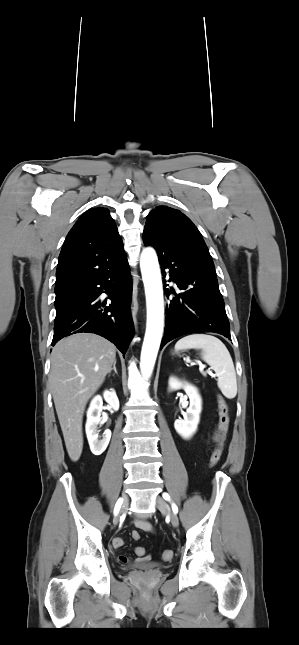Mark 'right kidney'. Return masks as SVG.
I'll list each match as a JSON object with an SVG mask.
<instances>
[{"label":"right kidney","instance_id":"1","mask_svg":"<svg viewBox=\"0 0 299 645\" xmlns=\"http://www.w3.org/2000/svg\"><path fill=\"white\" fill-rule=\"evenodd\" d=\"M103 398L114 411L119 409V400L114 390L105 391ZM103 398L100 395L95 396L87 411L85 429L91 452L94 455H101L111 438V431L107 429L104 431L102 439H99L98 425L102 424L100 414L103 409Z\"/></svg>","mask_w":299,"mask_h":645}]
</instances>
